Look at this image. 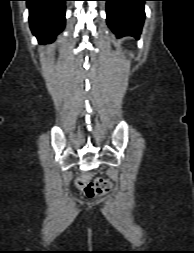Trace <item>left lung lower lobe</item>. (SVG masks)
Segmentation results:
<instances>
[{
  "mask_svg": "<svg viewBox=\"0 0 194 253\" xmlns=\"http://www.w3.org/2000/svg\"><path fill=\"white\" fill-rule=\"evenodd\" d=\"M107 2L106 13L109 28L117 36L141 34L145 13L144 2L149 0H103Z\"/></svg>",
  "mask_w": 194,
  "mask_h": 253,
  "instance_id": "obj_1",
  "label": "left lung lower lobe"
}]
</instances>
